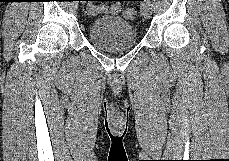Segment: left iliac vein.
I'll list each match as a JSON object with an SVG mask.
<instances>
[{"mask_svg":"<svg viewBox=\"0 0 229 161\" xmlns=\"http://www.w3.org/2000/svg\"><path fill=\"white\" fill-rule=\"evenodd\" d=\"M141 12L145 18L147 19L150 18L151 13H152V5H151L150 0L143 1V3L141 4Z\"/></svg>","mask_w":229,"mask_h":161,"instance_id":"obj_1","label":"left iliac vein"}]
</instances>
